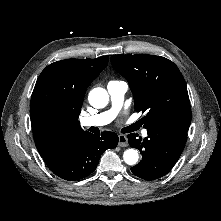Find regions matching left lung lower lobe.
Returning <instances> with one entry per match:
<instances>
[{"label": "left lung lower lobe", "instance_id": "0a47b994", "mask_svg": "<svg viewBox=\"0 0 221 221\" xmlns=\"http://www.w3.org/2000/svg\"><path fill=\"white\" fill-rule=\"evenodd\" d=\"M148 136L127 135L131 147L139 149L142 160L131 168L138 177L154 180L166 175L179 159L186 142L187 131L180 128H147Z\"/></svg>", "mask_w": 221, "mask_h": 221}]
</instances>
